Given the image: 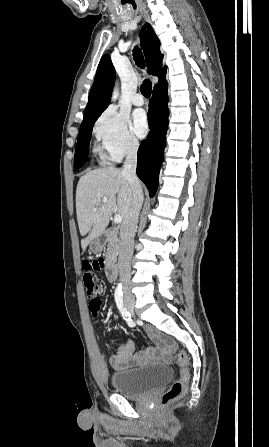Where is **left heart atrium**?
I'll list each match as a JSON object with an SVG mask.
<instances>
[{
    "instance_id": "obj_1",
    "label": "left heart atrium",
    "mask_w": 269,
    "mask_h": 447,
    "mask_svg": "<svg viewBox=\"0 0 269 447\" xmlns=\"http://www.w3.org/2000/svg\"><path fill=\"white\" fill-rule=\"evenodd\" d=\"M132 129L134 133L143 138L150 129V123L147 113L143 109H137L132 115Z\"/></svg>"
}]
</instances>
